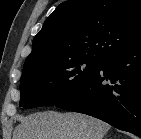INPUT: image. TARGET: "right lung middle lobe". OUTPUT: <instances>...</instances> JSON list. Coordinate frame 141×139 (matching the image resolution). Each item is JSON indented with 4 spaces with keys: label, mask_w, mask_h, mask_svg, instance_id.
<instances>
[{
    "label": "right lung middle lobe",
    "mask_w": 141,
    "mask_h": 139,
    "mask_svg": "<svg viewBox=\"0 0 141 139\" xmlns=\"http://www.w3.org/2000/svg\"><path fill=\"white\" fill-rule=\"evenodd\" d=\"M101 63L100 58L83 56L23 70L19 105L27 109L58 104L83 87Z\"/></svg>",
    "instance_id": "1"
}]
</instances>
